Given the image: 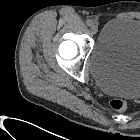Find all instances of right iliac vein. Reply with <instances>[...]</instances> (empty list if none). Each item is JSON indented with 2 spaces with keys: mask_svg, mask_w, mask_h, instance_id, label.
<instances>
[{
  "mask_svg": "<svg viewBox=\"0 0 140 140\" xmlns=\"http://www.w3.org/2000/svg\"><path fill=\"white\" fill-rule=\"evenodd\" d=\"M91 32L93 35H95L98 32V26L97 25H92L91 26Z\"/></svg>",
  "mask_w": 140,
  "mask_h": 140,
  "instance_id": "1",
  "label": "right iliac vein"
}]
</instances>
